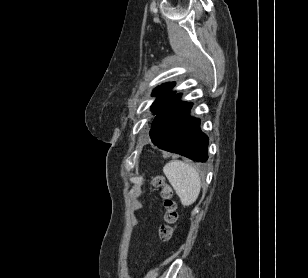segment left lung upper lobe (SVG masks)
<instances>
[{"instance_id":"5c2ea615","label":"left lung upper lobe","mask_w":308,"mask_h":278,"mask_svg":"<svg viewBox=\"0 0 308 278\" xmlns=\"http://www.w3.org/2000/svg\"><path fill=\"white\" fill-rule=\"evenodd\" d=\"M173 86H175V82H169L158 86L153 90L152 95H159V97L154 101L151 106V111L154 115L158 114L175 96V91L168 92Z\"/></svg>"}]
</instances>
